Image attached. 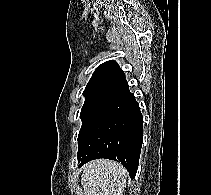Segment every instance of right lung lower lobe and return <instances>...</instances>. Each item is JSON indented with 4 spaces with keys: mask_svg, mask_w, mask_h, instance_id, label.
Here are the masks:
<instances>
[{
    "mask_svg": "<svg viewBox=\"0 0 211 195\" xmlns=\"http://www.w3.org/2000/svg\"><path fill=\"white\" fill-rule=\"evenodd\" d=\"M143 142V118L128 86L115 92L79 145V167L98 158L121 163L133 178Z\"/></svg>",
    "mask_w": 211,
    "mask_h": 195,
    "instance_id": "1",
    "label": "right lung lower lobe"
}]
</instances>
